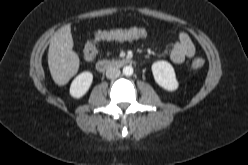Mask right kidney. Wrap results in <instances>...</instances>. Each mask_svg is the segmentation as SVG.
<instances>
[{"mask_svg":"<svg viewBox=\"0 0 248 165\" xmlns=\"http://www.w3.org/2000/svg\"><path fill=\"white\" fill-rule=\"evenodd\" d=\"M93 81L91 72L85 71L80 73L71 83L70 95L74 98H81L89 90Z\"/></svg>","mask_w":248,"mask_h":165,"instance_id":"right-kidney-1","label":"right kidney"}]
</instances>
